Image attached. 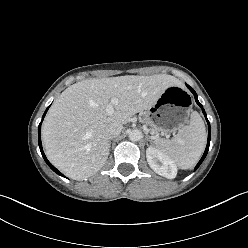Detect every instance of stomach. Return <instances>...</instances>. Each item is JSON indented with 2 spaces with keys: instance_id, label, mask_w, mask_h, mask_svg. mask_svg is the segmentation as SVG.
<instances>
[{
  "instance_id": "stomach-1",
  "label": "stomach",
  "mask_w": 248,
  "mask_h": 248,
  "mask_svg": "<svg viewBox=\"0 0 248 248\" xmlns=\"http://www.w3.org/2000/svg\"><path fill=\"white\" fill-rule=\"evenodd\" d=\"M191 98L180 85L167 88L145 112V121L163 135L175 133L188 122ZM156 140H166L157 138Z\"/></svg>"
}]
</instances>
